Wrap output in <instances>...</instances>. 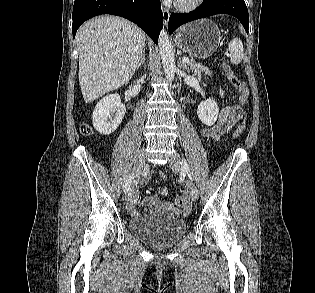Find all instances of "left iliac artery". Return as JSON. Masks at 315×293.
<instances>
[{
	"label": "left iliac artery",
	"instance_id": "obj_1",
	"mask_svg": "<svg viewBox=\"0 0 315 293\" xmlns=\"http://www.w3.org/2000/svg\"><path fill=\"white\" fill-rule=\"evenodd\" d=\"M182 169L185 170L188 176L192 179L190 168L185 159H182Z\"/></svg>",
	"mask_w": 315,
	"mask_h": 293
}]
</instances>
